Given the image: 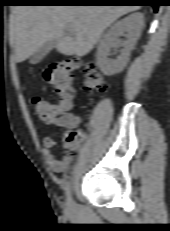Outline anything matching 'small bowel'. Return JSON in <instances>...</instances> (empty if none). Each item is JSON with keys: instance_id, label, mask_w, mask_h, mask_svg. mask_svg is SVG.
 Masks as SVG:
<instances>
[{"instance_id": "1", "label": "small bowel", "mask_w": 170, "mask_h": 231, "mask_svg": "<svg viewBox=\"0 0 170 231\" xmlns=\"http://www.w3.org/2000/svg\"><path fill=\"white\" fill-rule=\"evenodd\" d=\"M81 122V118L69 111H64L60 115H58L53 121L48 124L61 126L65 128H69L72 126H78ZM56 142L51 136H46L43 139V154L45 157V161L49 168L53 172H63L71 163L73 159V154L77 150L78 146L76 145L73 148H67V153L62 158H57L52 152L53 147Z\"/></svg>"}]
</instances>
